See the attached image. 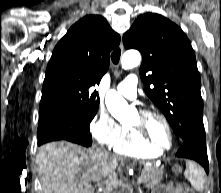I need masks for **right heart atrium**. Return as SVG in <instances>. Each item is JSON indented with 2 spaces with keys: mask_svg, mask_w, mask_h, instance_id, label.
<instances>
[{
  "mask_svg": "<svg viewBox=\"0 0 221 193\" xmlns=\"http://www.w3.org/2000/svg\"><path fill=\"white\" fill-rule=\"evenodd\" d=\"M90 132L98 144L111 148L120 138L122 126L108 111L99 109L90 123Z\"/></svg>",
  "mask_w": 221,
  "mask_h": 193,
  "instance_id": "obj_1",
  "label": "right heart atrium"
}]
</instances>
